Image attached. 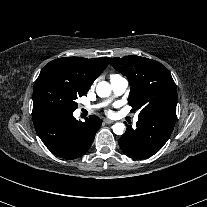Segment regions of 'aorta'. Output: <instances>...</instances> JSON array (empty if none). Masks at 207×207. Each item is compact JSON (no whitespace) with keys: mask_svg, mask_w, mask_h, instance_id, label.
<instances>
[{"mask_svg":"<svg viewBox=\"0 0 207 207\" xmlns=\"http://www.w3.org/2000/svg\"><path fill=\"white\" fill-rule=\"evenodd\" d=\"M112 88L108 82L102 81L97 84L96 92L99 97H108L111 94ZM125 130V125L121 122L113 125V132L117 135H122Z\"/></svg>","mask_w":207,"mask_h":207,"instance_id":"1","label":"aorta"}]
</instances>
